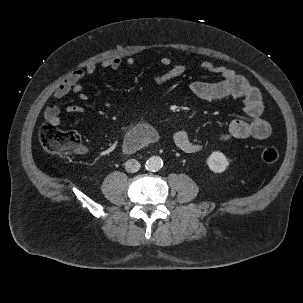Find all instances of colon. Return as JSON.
I'll return each instance as SVG.
<instances>
[{
	"instance_id": "1",
	"label": "colon",
	"mask_w": 303,
	"mask_h": 303,
	"mask_svg": "<svg viewBox=\"0 0 303 303\" xmlns=\"http://www.w3.org/2000/svg\"><path fill=\"white\" fill-rule=\"evenodd\" d=\"M42 147L56 157H70L79 152L81 138L76 131L63 130L50 123H45L39 132ZM261 157L266 163H274L279 158V151L274 146H266Z\"/></svg>"
}]
</instances>
